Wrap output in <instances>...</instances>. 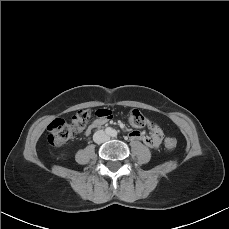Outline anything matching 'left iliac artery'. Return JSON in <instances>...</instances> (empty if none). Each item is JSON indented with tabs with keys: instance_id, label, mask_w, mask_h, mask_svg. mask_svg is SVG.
<instances>
[{
	"instance_id": "left-iliac-artery-1",
	"label": "left iliac artery",
	"mask_w": 229,
	"mask_h": 229,
	"mask_svg": "<svg viewBox=\"0 0 229 229\" xmlns=\"http://www.w3.org/2000/svg\"><path fill=\"white\" fill-rule=\"evenodd\" d=\"M112 136H114V137L117 136V132L115 130L112 131Z\"/></svg>"
}]
</instances>
